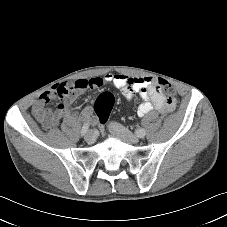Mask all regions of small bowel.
<instances>
[{"instance_id": "obj_1", "label": "small bowel", "mask_w": 227, "mask_h": 227, "mask_svg": "<svg viewBox=\"0 0 227 227\" xmlns=\"http://www.w3.org/2000/svg\"><path fill=\"white\" fill-rule=\"evenodd\" d=\"M160 81L153 77H130L123 74H107L104 77H94L88 80H77L55 85L50 92L43 93L33 106V115L43 128L55 126L63 118L74 115L73 103L88 88H98L105 83L114 85L127 100L139 95L143 102L138 107V115L143 117L152 110L160 113L171 111L175 107V99L165 94ZM61 99L55 109L47 107L52 99ZM92 107L87 106L79 113L85 121L92 119Z\"/></svg>"}]
</instances>
